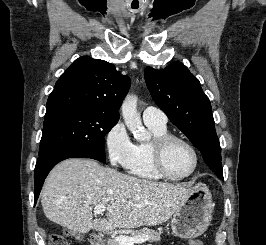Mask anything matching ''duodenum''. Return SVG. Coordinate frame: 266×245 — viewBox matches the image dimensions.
I'll return each mask as SVG.
<instances>
[{"instance_id": "duodenum-1", "label": "duodenum", "mask_w": 266, "mask_h": 245, "mask_svg": "<svg viewBox=\"0 0 266 245\" xmlns=\"http://www.w3.org/2000/svg\"><path fill=\"white\" fill-rule=\"evenodd\" d=\"M91 245H102V241L98 237H94L91 241Z\"/></svg>"}]
</instances>
